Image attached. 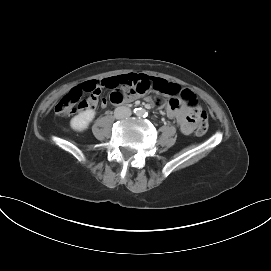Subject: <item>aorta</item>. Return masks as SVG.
<instances>
[{
    "mask_svg": "<svg viewBox=\"0 0 271 271\" xmlns=\"http://www.w3.org/2000/svg\"><path fill=\"white\" fill-rule=\"evenodd\" d=\"M143 114H144V110H140L139 115H143Z\"/></svg>",
    "mask_w": 271,
    "mask_h": 271,
    "instance_id": "1",
    "label": "aorta"
}]
</instances>
